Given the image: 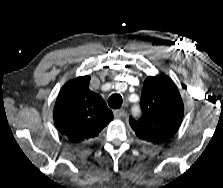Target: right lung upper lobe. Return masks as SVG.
Returning <instances> with one entry per match:
<instances>
[{"mask_svg": "<svg viewBox=\"0 0 223 188\" xmlns=\"http://www.w3.org/2000/svg\"><path fill=\"white\" fill-rule=\"evenodd\" d=\"M90 77L68 81L60 90L54 107L56 128L74 144L96 137L113 119L102 97L89 90Z\"/></svg>", "mask_w": 223, "mask_h": 188, "instance_id": "right-lung-upper-lobe-1", "label": "right lung upper lobe"}]
</instances>
